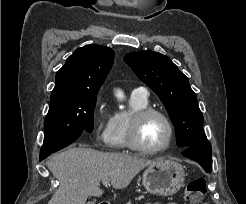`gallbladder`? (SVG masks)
<instances>
[{"label": "gallbladder", "instance_id": "gallbladder-1", "mask_svg": "<svg viewBox=\"0 0 246 204\" xmlns=\"http://www.w3.org/2000/svg\"><path fill=\"white\" fill-rule=\"evenodd\" d=\"M87 204H94L92 201L87 202Z\"/></svg>", "mask_w": 246, "mask_h": 204}]
</instances>
